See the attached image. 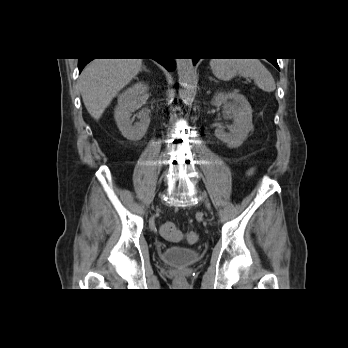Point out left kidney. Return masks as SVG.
<instances>
[{
    "label": "left kidney",
    "instance_id": "5707ae66",
    "mask_svg": "<svg viewBox=\"0 0 348 348\" xmlns=\"http://www.w3.org/2000/svg\"><path fill=\"white\" fill-rule=\"evenodd\" d=\"M211 103L215 106L224 104L226 115L231 116L235 121V125L229 133H226L224 128L218 125L215 136L226 143L229 148L241 146L253 129L252 108L247 99L238 91L222 92L215 94Z\"/></svg>",
    "mask_w": 348,
    "mask_h": 348
}]
</instances>
